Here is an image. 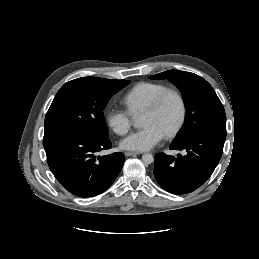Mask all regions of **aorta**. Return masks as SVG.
<instances>
[{
  "instance_id": "obj_1",
  "label": "aorta",
  "mask_w": 259,
  "mask_h": 259,
  "mask_svg": "<svg viewBox=\"0 0 259 259\" xmlns=\"http://www.w3.org/2000/svg\"><path fill=\"white\" fill-rule=\"evenodd\" d=\"M133 126H134L135 128H140V127H141V122H140V120H138V119L135 120L134 123H133ZM153 161H154V157H153L152 154H149V153L143 154V156H142V162H143L144 164H151V163H153Z\"/></svg>"
}]
</instances>
